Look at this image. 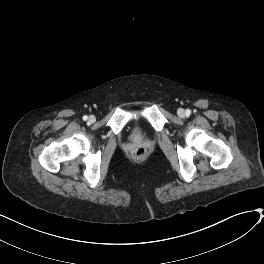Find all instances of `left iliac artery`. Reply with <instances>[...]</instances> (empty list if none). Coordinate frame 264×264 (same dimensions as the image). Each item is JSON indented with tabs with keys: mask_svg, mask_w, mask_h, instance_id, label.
Listing matches in <instances>:
<instances>
[{
	"mask_svg": "<svg viewBox=\"0 0 264 264\" xmlns=\"http://www.w3.org/2000/svg\"><path fill=\"white\" fill-rule=\"evenodd\" d=\"M191 111L189 109L186 110V115H190Z\"/></svg>",
	"mask_w": 264,
	"mask_h": 264,
	"instance_id": "1",
	"label": "left iliac artery"
}]
</instances>
